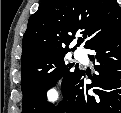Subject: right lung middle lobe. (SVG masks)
Masks as SVG:
<instances>
[{
    "label": "right lung middle lobe",
    "instance_id": "obj_1",
    "mask_svg": "<svg viewBox=\"0 0 121 113\" xmlns=\"http://www.w3.org/2000/svg\"><path fill=\"white\" fill-rule=\"evenodd\" d=\"M65 53L67 52L42 56L22 68L24 113H50L53 110L54 105L46 101V91L62 78L64 92L71 77L79 70L76 66L74 71H70L72 66L65 65Z\"/></svg>",
    "mask_w": 121,
    "mask_h": 113
}]
</instances>
